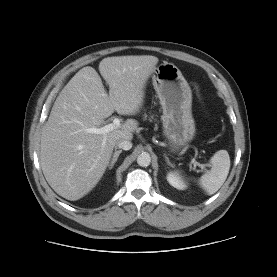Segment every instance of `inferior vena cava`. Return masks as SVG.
Here are the masks:
<instances>
[{"mask_svg":"<svg viewBox=\"0 0 277 277\" xmlns=\"http://www.w3.org/2000/svg\"><path fill=\"white\" fill-rule=\"evenodd\" d=\"M115 147L123 150H129L132 148V143L129 140H119Z\"/></svg>","mask_w":277,"mask_h":277,"instance_id":"inferior-vena-cava-1","label":"inferior vena cava"}]
</instances>
